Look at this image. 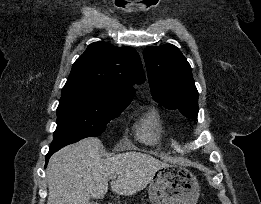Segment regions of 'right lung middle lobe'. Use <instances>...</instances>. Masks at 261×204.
Here are the masks:
<instances>
[{
    "label": "right lung middle lobe",
    "mask_w": 261,
    "mask_h": 204,
    "mask_svg": "<svg viewBox=\"0 0 261 204\" xmlns=\"http://www.w3.org/2000/svg\"><path fill=\"white\" fill-rule=\"evenodd\" d=\"M129 103L103 102L88 93L61 96L50 148L61 149L83 138L99 136Z\"/></svg>",
    "instance_id": "obj_1"
}]
</instances>
